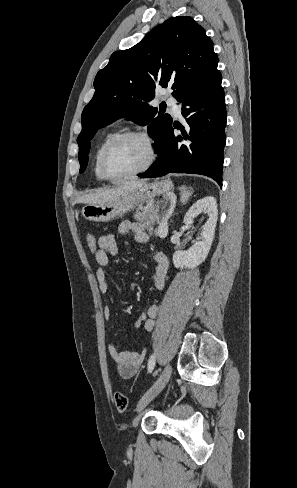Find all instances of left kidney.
Returning a JSON list of instances; mask_svg holds the SVG:
<instances>
[{
  "label": "left kidney",
  "instance_id": "5707ae66",
  "mask_svg": "<svg viewBox=\"0 0 297 488\" xmlns=\"http://www.w3.org/2000/svg\"><path fill=\"white\" fill-rule=\"evenodd\" d=\"M207 214L208 218L203 225L200 237L196 242L186 251H175L173 254V264L176 268L183 269L195 268L200 265L207 257L214 240L215 227L217 223V202L212 196H207L197 200L184 216V224L186 226H193L194 218L199 214Z\"/></svg>",
  "mask_w": 297,
  "mask_h": 488
}]
</instances>
